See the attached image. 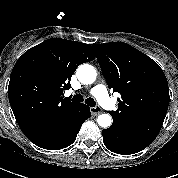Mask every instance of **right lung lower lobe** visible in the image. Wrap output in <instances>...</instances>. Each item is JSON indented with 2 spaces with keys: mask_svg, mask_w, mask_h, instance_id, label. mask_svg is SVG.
I'll list each match as a JSON object with an SVG mask.
<instances>
[{
  "mask_svg": "<svg viewBox=\"0 0 178 178\" xmlns=\"http://www.w3.org/2000/svg\"><path fill=\"white\" fill-rule=\"evenodd\" d=\"M90 116L91 113L89 107L83 104L78 117L69 129L48 134L31 141L37 146L48 150H60L66 148L75 141L82 124Z\"/></svg>",
  "mask_w": 178,
  "mask_h": 178,
  "instance_id": "right-lung-lower-lobe-1",
  "label": "right lung lower lobe"
}]
</instances>
